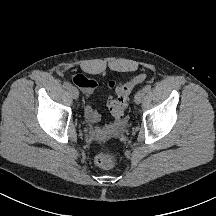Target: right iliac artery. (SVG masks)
<instances>
[{
	"label": "right iliac artery",
	"instance_id": "obj_1",
	"mask_svg": "<svg viewBox=\"0 0 216 216\" xmlns=\"http://www.w3.org/2000/svg\"><path fill=\"white\" fill-rule=\"evenodd\" d=\"M63 87L66 88V89H69L71 87V84L68 83V82H64Z\"/></svg>",
	"mask_w": 216,
	"mask_h": 216
}]
</instances>
